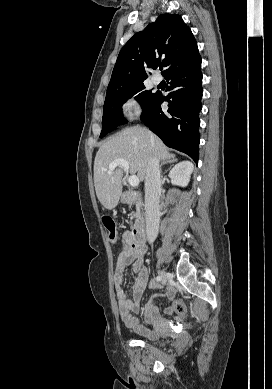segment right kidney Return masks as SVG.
Returning a JSON list of instances; mask_svg holds the SVG:
<instances>
[{"label":"right kidney","mask_w":272,"mask_h":389,"mask_svg":"<svg viewBox=\"0 0 272 389\" xmlns=\"http://www.w3.org/2000/svg\"><path fill=\"white\" fill-rule=\"evenodd\" d=\"M194 170V166L189 161H182L176 164L169 172V177L173 185L186 187L190 181V176Z\"/></svg>","instance_id":"right-kidney-1"}]
</instances>
